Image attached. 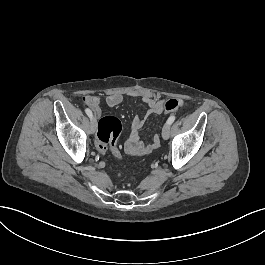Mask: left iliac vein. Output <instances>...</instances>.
Wrapping results in <instances>:
<instances>
[{
    "label": "left iliac vein",
    "instance_id": "1",
    "mask_svg": "<svg viewBox=\"0 0 265 265\" xmlns=\"http://www.w3.org/2000/svg\"><path fill=\"white\" fill-rule=\"evenodd\" d=\"M170 136V125L166 123L162 129V137L168 139Z\"/></svg>",
    "mask_w": 265,
    "mask_h": 265
}]
</instances>
